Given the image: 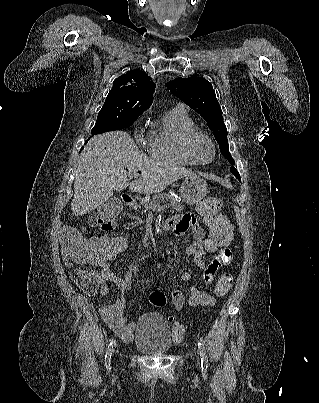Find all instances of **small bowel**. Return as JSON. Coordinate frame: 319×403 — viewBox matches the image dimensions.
<instances>
[{"instance_id": "c3829d8e", "label": "small bowel", "mask_w": 319, "mask_h": 403, "mask_svg": "<svg viewBox=\"0 0 319 403\" xmlns=\"http://www.w3.org/2000/svg\"><path fill=\"white\" fill-rule=\"evenodd\" d=\"M203 203V202H202ZM198 205V210L201 211V204ZM173 230L176 235L184 236L188 231L191 232L193 237V242L186 247V253L194 255L195 265L202 270L204 274V283L209 285L216 272L232 261V252L227 247H221L220 251H215L216 255L214 259L206 263L203 259L205 252H210V247L207 246V239H205L204 229L198 224L196 218L192 214H183L174 216L171 218ZM86 241L87 238H84ZM65 258H67L65 254ZM114 258H99L96 261L88 262L90 265L95 267V271L101 284H106L107 282H113L120 291L119 298L112 304L104 305L100 309L101 316L106 324L125 342H131L133 340V334L136 330V325L129 323L127 317L124 314V306L126 303V296L132 291L133 288V277L138 271L136 264H130L126 274L121 277L115 274L110 269V261ZM65 265L68 268H72L74 264L68 260L65 261ZM190 275L185 272L182 275ZM188 290H190V284H184ZM102 293L108 292L107 286L101 287ZM171 300L175 309L179 310L183 305L188 302L191 306H214L215 298L209 294L202 292L200 289L197 293H190L188 298L182 297L184 292L179 287H173L170 291ZM103 297V294H100Z\"/></svg>"}]
</instances>
